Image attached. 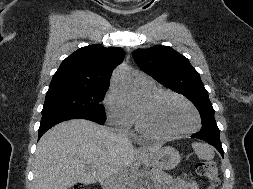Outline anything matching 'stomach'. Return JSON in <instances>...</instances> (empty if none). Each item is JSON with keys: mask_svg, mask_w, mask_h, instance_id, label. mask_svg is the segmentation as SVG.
Returning a JSON list of instances; mask_svg holds the SVG:
<instances>
[{"mask_svg": "<svg viewBox=\"0 0 253 189\" xmlns=\"http://www.w3.org/2000/svg\"><path fill=\"white\" fill-rule=\"evenodd\" d=\"M179 152L172 147H164L157 152L149 153L144 157V162L156 169H172L180 162Z\"/></svg>", "mask_w": 253, "mask_h": 189, "instance_id": "stomach-1", "label": "stomach"}]
</instances>
